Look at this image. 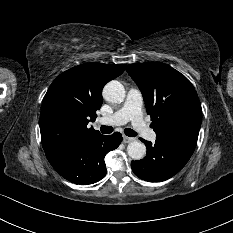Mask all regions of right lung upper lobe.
I'll use <instances>...</instances> for the list:
<instances>
[{
    "mask_svg": "<svg viewBox=\"0 0 233 233\" xmlns=\"http://www.w3.org/2000/svg\"><path fill=\"white\" fill-rule=\"evenodd\" d=\"M125 65L85 63L61 73L42 101L40 132L44 150L100 134L93 127L103 98L102 89Z\"/></svg>",
    "mask_w": 233,
    "mask_h": 233,
    "instance_id": "cb5924a9",
    "label": "right lung upper lobe"
}]
</instances>
